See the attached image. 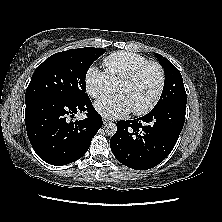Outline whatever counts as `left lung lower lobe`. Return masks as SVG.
I'll use <instances>...</instances> for the list:
<instances>
[{"label":"left lung lower lobe","instance_id":"left-lung-lower-lobe-1","mask_svg":"<svg viewBox=\"0 0 222 222\" xmlns=\"http://www.w3.org/2000/svg\"><path fill=\"white\" fill-rule=\"evenodd\" d=\"M185 101H170L147 115L117 122L110 146L125 166L147 170L161 163L172 151L185 121Z\"/></svg>","mask_w":222,"mask_h":222}]
</instances>
